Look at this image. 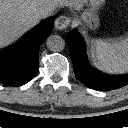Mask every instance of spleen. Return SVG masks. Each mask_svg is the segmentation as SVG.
I'll return each instance as SVG.
<instances>
[{"label": "spleen", "mask_w": 128, "mask_h": 128, "mask_svg": "<svg viewBox=\"0 0 128 128\" xmlns=\"http://www.w3.org/2000/svg\"><path fill=\"white\" fill-rule=\"evenodd\" d=\"M92 55L101 70L111 74L128 73V38L116 42L96 39Z\"/></svg>", "instance_id": "obj_1"}]
</instances>
